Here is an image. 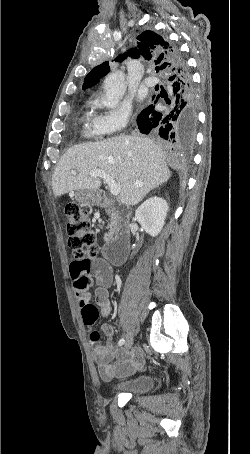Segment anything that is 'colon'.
Returning a JSON list of instances; mask_svg holds the SVG:
<instances>
[{"label": "colon", "mask_w": 250, "mask_h": 454, "mask_svg": "<svg viewBox=\"0 0 250 454\" xmlns=\"http://www.w3.org/2000/svg\"><path fill=\"white\" fill-rule=\"evenodd\" d=\"M67 217L68 245L72 249L76 260L91 259L98 252L96 235L92 229L88 212L76 203H69L65 207ZM84 324L93 326L99 316L97 307L93 304H86L81 309ZM90 340H99V333L92 331Z\"/></svg>", "instance_id": "obj_1"}]
</instances>
